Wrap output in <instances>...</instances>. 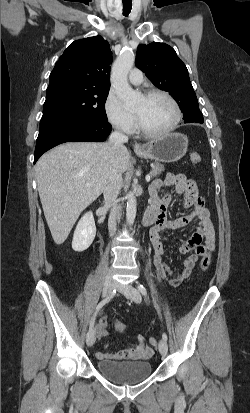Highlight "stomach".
<instances>
[{"label":"stomach","instance_id":"obj_1","mask_svg":"<svg viewBox=\"0 0 250 413\" xmlns=\"http://www.w3.org/2000/svg\"><path fill=\"white\" fill-rule=\"evenodd\" d=\"M187 148V136L181 133H168L149 142L143 151L136 154L142 158L169 163L180 160Z\"/></svg>","mask_w":250,"mask_h":413}]
</instances>
